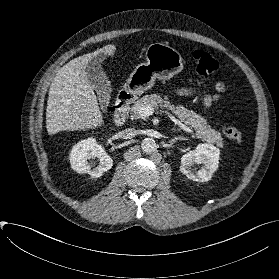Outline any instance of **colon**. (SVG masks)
<instances>
[{"label": "colon", "instance_id": "obj_1", "mask_svg": "<svg viewBox=\"0 0 279 279\" xmlns=\"http://www.w3.org/2000/svg\"><path fill=\"white\" fill-rule=\"evenodd\" d=\"M192 59L193 70L201 76L212 74L219 68L218 60L207 51L201 49L195 50L192 53ZM223 133L227 138L235 141L236 143H242V133L236 127L225 126L223 127Z\"/></svg>", "mask_w": 279, "mask_h": 279}]
</instances>
